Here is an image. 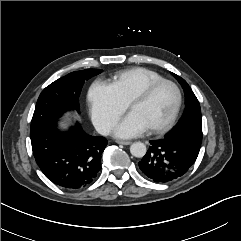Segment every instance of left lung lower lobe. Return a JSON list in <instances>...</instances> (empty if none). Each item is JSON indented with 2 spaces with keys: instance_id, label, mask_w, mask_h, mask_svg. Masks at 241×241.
Listing matches in <instances>:
<instances>
[{
  "instance_id": "obj_1",
  "label": "left lung lower lobe",
  "mask_w": 241,
  "mask_h": 241,
  "mask_svg": "<svg viewBox=\"0 0 241 241\" xmlns=\"http://www.w3.org/2000/svg\"><path fill=\"white\" fill-rule=\"evenodd\" d=\"M150 144L146 155L139 162V168L155 182L165 183L179 179L197 158V155L172 139L152 140Z\"/></svg>"
}]
</instances>
